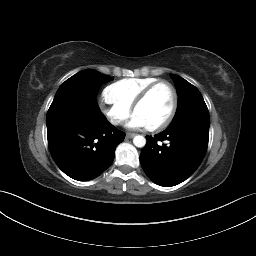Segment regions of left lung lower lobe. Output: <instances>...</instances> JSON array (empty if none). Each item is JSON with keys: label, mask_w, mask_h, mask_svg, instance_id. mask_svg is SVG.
Masks as SVG:
<instances>
[{"label": "left lung lower lobe", "mask_w": 256, "mask_h": 256, "mask_svg": "<svg viewBox=\"0 0 256 256\" xmlns=\"http://www.w3.org/2000/svg\"><path fill=\"white\" fill-rule=\"evenodd\" d=\"M146 138L141 166L154 183L170 187L189 178L201 164L208 147L209 126L188 121ZM165 140L168 145L158 143Z\"/></svg>", "instance_id": "1"}]
</instances>
